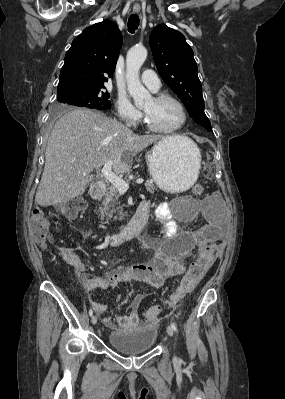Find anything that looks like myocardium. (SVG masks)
<instances>
[{
  "label": "myocardium",
  "instance_id": "obj_1",
  "mask_svg": "<svg viewBox=\"0 0 285 399\" xmlns=\"http://www.w3.org/2000/svg\"><path fill=\"white\" fill-rule=\"evenodd\" d=\"M153 99L156 102H162V101H165V100L174 101L180 107V109L182 111L183 118H182L181 123L179 125L175 126V127L162 128V127H158L157 125H155V123L150 119V117L144 111L143 112L144 121H145V124H146V126L148 127L149 130H151L153 132H156V133L168 134V133H173V132H176V131L180 130L186 124V122H187V110H186L185 105L183 104V102L179 98H177V97H175V96H173L171 94L160 93V94L155 95L153 97Z\"/></svg>",
  "mask_w": 285,
  "mask_h": 399
}]
</instances>
